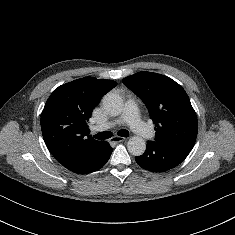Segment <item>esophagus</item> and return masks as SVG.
<instances>
[{
	"label": "esophagus",
	"instance_id": "esophagus-1",
	"mask_svg": "<svg viewBox=\"0 0 235 235\" xmlns=\"http://www.w3.org/2000/svg\"><path fill=\"white\" fill-rule=\"evenodd\" d=\"M125 139H126V138H124V137L114 136V137H112V138L110 139V141H111L112 143H119V142L124 141Z\"/></svg>",
	"mask_w": 235,
	"mask_h": 235
}]
</instances>
